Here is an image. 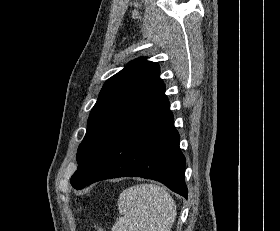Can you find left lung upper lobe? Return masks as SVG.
<instances>
[{
  "label": "left lung upper lobe",
  "instance_id": "5c2ea615",
  "mask_svg": "<svg viewBox=\"0 0 280 231\" xmlns=\"http://www.w3.org/2000/svg\"><path fill=\"white\" fill-rule=\"evenodd\" d=\"M159 66L143 58L130 62L108 79L91 110L86 135L78 147V169L71 177L76 188L104 147L124 128L166 100Z\"/></svg>",
  "mask_w": 280,
  "mask_h": 231
}]
</instances>
